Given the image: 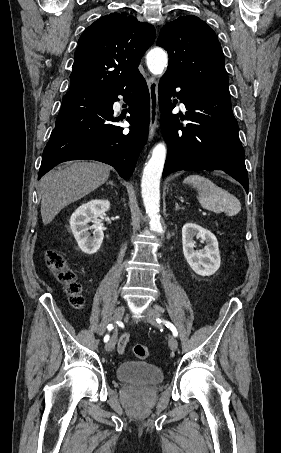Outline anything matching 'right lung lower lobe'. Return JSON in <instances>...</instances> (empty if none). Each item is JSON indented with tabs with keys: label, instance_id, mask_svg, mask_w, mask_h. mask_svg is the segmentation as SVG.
I'll list each match as a JSON object with an SVG mask.
<instances>
[{
	"label": "right lung lower lobe",
	"instance_id": "obj_1",
	"mask_svg": "<svg viewBox=\"0 0 281 453\" xmlns=\"http://www.w3.org/2000/svg\"><path fill=\"white\" fill-rule=\"evenodd\" d=\"M118 95L129 104V132L112 123L120 120L112 108ZM149 107L148 87L140 72L114 90L68 92L43 151L38 179L59 163L79 159L104 162L129 178L148 137Z\"/></svg>",
	"mask_w": 281,
	"mask_h": 453
}]
</instances>
